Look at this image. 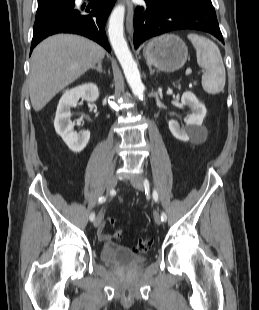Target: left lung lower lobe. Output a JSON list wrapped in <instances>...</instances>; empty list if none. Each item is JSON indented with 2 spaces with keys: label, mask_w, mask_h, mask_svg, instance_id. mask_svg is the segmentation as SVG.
<instances>
[{
  "label": "left lung lower lobe",
  "mask_w": 259,
  "mask_h": 310,
  "mask_svg": "<svg viewBox=\"0 0 259 310\" xmlns=\"http://www.w3.org/2000/svg\"><path fill=\"white\" fill-rule=\"evenodd\" d=\"M145 1L147 7H137L134 14L133 42L135 48L149 38L179 29L202 30L224 43L211 0H193L182 3L161 0Z\"/></svg>",
  "instance_id": "0a47b994"
}]
</instances>
